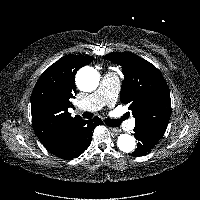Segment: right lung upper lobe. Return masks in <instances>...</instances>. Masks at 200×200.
<instances>
[{
	"mask_svg": "<svg viewBox=\"0 0 200 200\" xmlns=\"http://www.w3.org/2000/svg\"><path fill=\"white\" fill-rule=\"evenodd\" d=\"M91 56L66 55L52 64L38 79L31 95L34 131L42 144L53 147L81 119L71 117L69 107L76 91L75 74L93 61Z\"/></svg>",
	"mask_w": 200,
	"mask_h": 200,
	"instance_id": "1",
	"label": "right lung upper lobe"
}]
</instances>
